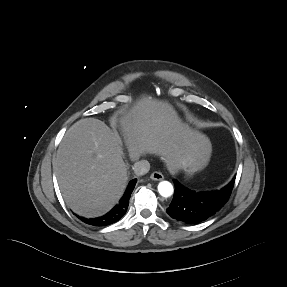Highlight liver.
<instances>
[{"mask_svg": "<svg viewBox=\"0 0 287 287\" xmlns=\"http://www.w3.org/2000/svg\"><path fill=\"white\" fill-rule=\"evenodd\" d=\"M132 160L144 154L161 157L172 173L192 161L196 171L205 168L212 146L203 134L183 123L167 102L142 98L119 118ZM122 140L104 122L84 118L64 135L55 168L62 196L78 215L92 218L108 212L127 185Z\"/></svg>", "mask_w": 287, "mask_h": 287, "instance_id": "6515ba94", "label": "liver"}]
</instances>
